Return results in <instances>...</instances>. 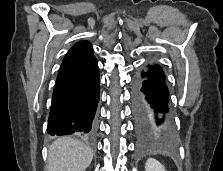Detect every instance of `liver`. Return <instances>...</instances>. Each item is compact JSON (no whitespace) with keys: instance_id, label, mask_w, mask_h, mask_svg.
Returning <instances> with one entry per match:
<instances>
[{"instance_id":"6515ba94","label":"liver","mask_w":223,"mask_h":171,"mask_svg":"<svg viewBox=\"0 0 223 171\" xmlns=\"http://www.w3.org/2000/svg\"><path fill=\"white\" fill-rule=\"evenodd\" d=\"M93 150L71 137L55 140L49 147L46 171H85Z\"/></svg>"}]
</instances>
